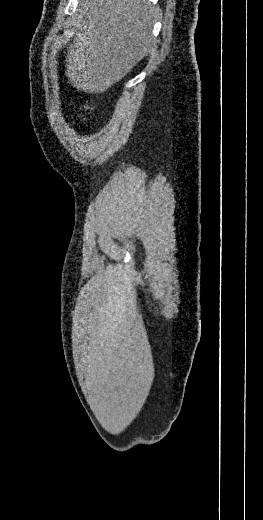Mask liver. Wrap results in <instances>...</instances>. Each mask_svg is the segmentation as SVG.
<instances>
[{
	"instance_id": "liver-1",
	"label": "liver",
	"mask_w": 263,
	"mask_h": 520,
	"mask_svg": "<svg viewBox=\"0 0 263 520\" xmlns=\"http://www.w3.org/2000/svg\"><path fill=\"white\" fill-rule=\"evenodd\" d=\"M155 15L149 0H81L65 65L72 86L104 93L120 81L151 50Z\"/></svg>"
}]
</instances>
